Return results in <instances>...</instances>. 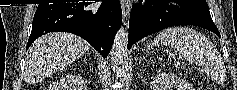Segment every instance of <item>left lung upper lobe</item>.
<instances>
[{
	"label": "left lung upper lobe",
	"mask_w": 237,
	"mask_h": 90,
	"mask_svg": "<svg viewBox=\"0 0 237 90\" xmlns=\"http://www.w3.org/2000/svg\"><path fill=\"white\" fill-rule=\"evenodd\" d=\"M197 1L205 2L204 0H197Z\"/></svg>",
	"instance_id": "left-lung-upper-lobe-1"
}]
</instances>
